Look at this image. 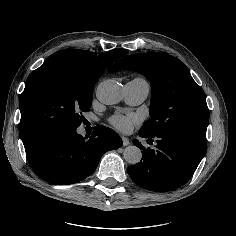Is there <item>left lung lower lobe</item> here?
I'll return each mask as SVG.
<instances>
[{"mask_svg":"<svg viewBox=\"0 0 236 236\" xmlns=\"http://www.w3.org/2000/svg\"><path fill=\"white\" fill-rule=\"evenodd\" d=\"M139 135L149 138V142L154 138L156 146L146 148L138 140H133L142 149V158L127 171L138 186L150 191L167 192L184 185L207 150L206 139L189 134L164 131L155 136Z\"/></svg>","mask_w":236,"mask_h":236,"instance_id":"obj_1","label":"left lung lower lobe"}]
</instances>
